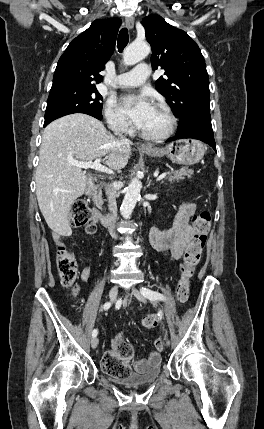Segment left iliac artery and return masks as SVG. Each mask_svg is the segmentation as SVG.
<instances>
[{"mask_svg":"<svg viewBox=\"0 0 264 429\" xmlns=\"http://www.w3.org/2000/svg\"><path fill=\"white\" fill-rule=\"evenodd\" d=\"M140 290H141V293L143 295H145V293H147V292L151 293V295H152L151 299L152 298H156V300H166V297L164 295H162V294H160V293H158L156 291L150 290V289H148L146 287H142Z\"/></svg>","mask_w":264,"mask_h":429,"instance_id":"44dca946","label":"left iliac artery"}]
</instances>
